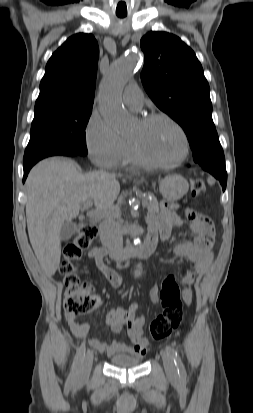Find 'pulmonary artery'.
I'll return each instance as SVG.
<instances>
[{"label": "pulmonary artery", "instance_id": "obj_1", "mask_svg": "<svg viewBox=\"0 0 253 413\" xmlns=\"http://www.w3.org/2000/svg\"><path fill=\"white\" fill-rule=\"evenodd\" d=\"M123 101L128 108L138 111L143 105V93L137 85H129L124 90Z\"/></svg>", "mask_w": 253, "mask_h": 413}]
</instances>
